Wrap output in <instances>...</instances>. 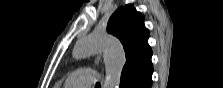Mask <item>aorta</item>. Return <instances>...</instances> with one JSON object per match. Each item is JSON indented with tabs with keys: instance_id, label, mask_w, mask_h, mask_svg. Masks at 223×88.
<instances>
[{
	"instance_id": "1",
	"label": "aorta",
	"mask_w": 223,
	"mask_h": 88,
	"mask_svg": "<svg viewBox=\"0 0 223 88\" xmlns=\"http://www.w3.org/2000/svg\"><path fill=\"white\" fill-rule=\"evenodd\" d=\"M103 52L105 64V87L118 88L126 58L122 45L107 34L92 33L80 39L73 50L76 59Z\"/></svg>"
}]
</instances>
